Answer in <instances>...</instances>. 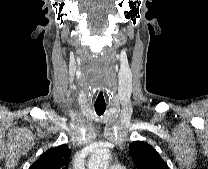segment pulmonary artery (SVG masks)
<instances>
[{
	"label": "pulmonary artery",
	"instance_id": "e3ab8cb5",
	"mask_svg": "<svg viewBox=\"0 0 208 169\" xmlns=\"http://www.w3.org/2000/svg\"><path fill=\"white\" fill-rule=\"evenodd\" d=\"M111 169H126L125 165L116 163L111 166Z\"/></svg>",
	"mask_w": 208,
	"mask_h": 169
}]
</instances>
